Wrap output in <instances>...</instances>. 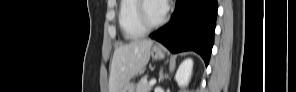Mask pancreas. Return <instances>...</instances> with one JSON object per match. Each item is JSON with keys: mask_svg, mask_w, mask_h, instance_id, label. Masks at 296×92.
I'll return each instance as SVG.
<instances>
[{"mask_svg": "<svg viewBox=\"0 0 296 92\" xmlns=\"http://www.w3.org/2000/svg\"><path fill=\"white\" fill-rule=\"evenodd\" d=\"M151 89H152V86L148 83L147 76H144L139 81L137 88H136V92H150Z\"/></svg>", "mask_w": 296, "mask_h": 92, "instance_id": "1", "label": "pancreas"}]
</instances>
